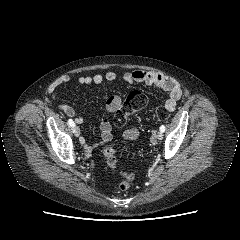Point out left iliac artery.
<instances>
[{
  "mask_svg": "<svg viewBox=\"0 0 240 240\" xmlns=\"http://www.w3.org/2000/svg\"><path fill=\"white\" fill-rule=\"evenodd\" d=\"M160 131H161L162 133L165 131V126H164V125H162V126L160 127Z\"/></svg>",
  "mask_w": 240,
  "mask_h": 240,
  "instance_id": "1",
  "label": "left iliac artery"
}]
</instances>
